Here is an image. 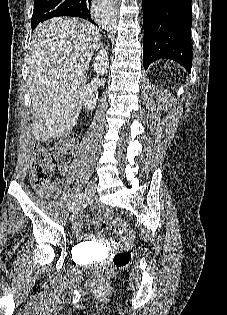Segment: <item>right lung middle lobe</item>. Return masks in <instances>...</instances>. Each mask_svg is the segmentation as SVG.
<instances>
[{
	"label": "right lung middle lobe",
	"mask_w": 227,
	"mask_h": 315,
	"mask_svg": "<svg viewBox=\"0 0 227 315\" xmlns=\"http://www.w3.org/2000/svg\"><path fill=\"white\" fill-rule=\"evenodd\" d=\"M75 0H35L31 19L32 30L36 26L53 17H58L56 10H62L73 4Z\"/></svg>",
	"instance_id": "dd1d6c3e"
}]
</instances>
